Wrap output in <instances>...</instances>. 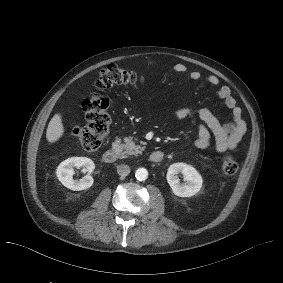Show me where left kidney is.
Returning a JSON list of instances; mask_svg holds the SVG:
<instances>
[{
  "mask_svg": "<svg viewBox=\"0 0 283 283\" xmlns=\"http://www.w3.org/2000/svg\"><path fill=\"white\" fill-rule=\"evenodd\" d=\"M179 173L183 175L184 183H180ZM166 178L173 193L179 197L194 196L200 191L203 183L199 172L193 166L186 163H174L170 165Z\"/></svg>",
  "mask_w": 283,
  "mask_h": 283,
  "instance_id": "left-kidney-1",
  "label": "left kidney"
}]
</instances>
